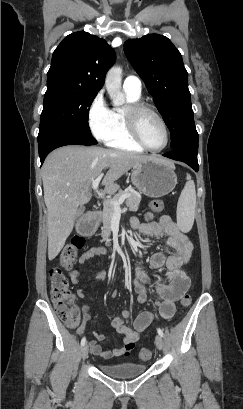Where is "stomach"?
Listing matches in <instances>:
<instances>
[{
  "mask_svg": "<svg viewBox=\"0 0 243 409\" xmlns=\"http://www.w3.org/2000/svg\"><path fill=\"white\" fill-rule=\"evenodd\" d=\"M131 181L141 194L158 198L169 194L175 188L177 176L172 163L151 157L133 167Z\"/></svg>",
  "mask_w": 243,
  "mask_h": 409,
  "instance_id": "stomach-1",
  "label": "stomach"
}]
</instances>
